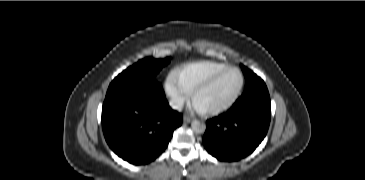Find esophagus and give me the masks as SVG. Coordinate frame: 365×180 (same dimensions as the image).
Here are the masks:
<instances>
[{
	"label": "esophagus",
	"mask_w": 365,
	"mask_h": 180,
	"mask_svg": "<svg viewBox=\"0 0 365 180\" xmlns=\"http://www.w3.org/2000/svg\"><path fill=\"white\" fill-rule=\"evenodd\" d=\"M192 120H193V118H192V117H190V116H188V115H185V116L183 117V121H184L185 123H190Z\"/></svg>",
	"instance_id": "1"
}]
</instances>
